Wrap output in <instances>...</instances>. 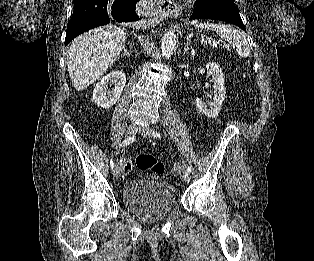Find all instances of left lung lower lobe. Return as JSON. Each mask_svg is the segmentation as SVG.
Returning a JSON list of instances; mask_svg holds the SVG:
<instances>
[{"instance_id":"1","label":"left lung lower lobe","mask_w":314,"mask_h":261,"mask_svg":"<svg viewBox=\"0 0 314 261\" xmlns=\"http://www.w3.org/2000/svg\"><path fill=\"white\" fill-rule=\"evenodd\" d=\"M195 19H214L228 22L240 27L246 32L245 26L236 6H196L194 4V11L189 20Z\"/></svg>"}]
</instances>
